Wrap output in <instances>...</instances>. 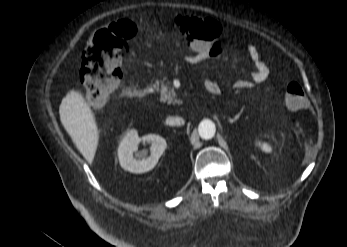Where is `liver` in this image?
<instances>
[{
	"label": "liver",
	"instance_id": "liver-1",
	"mask_svg": "<svg viewBox=\"0 0 347 247\" xmlns=\"http://www.w3.org/2000/svg\"><path fill=\"white\" fill-rule=\"evenodd\" d=\"M60 119L77 148L92 163L98 146L99 130L95 116L85 97L76 90H70L62 99Z\"/></svg>",
	"mask_w": 347,
	"mask_h": 247
}]
</instances>
